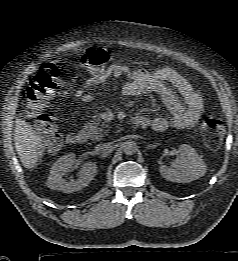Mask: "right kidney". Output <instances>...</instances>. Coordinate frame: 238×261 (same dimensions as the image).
Returning <instances> with one entry per match:
<instances>
[{
	"mask_svg": "<svg viewBox=\"0 0 238 261\" xmlns=\"http://www.w3.org/2000/svg\"><path fill=\"white\" fill-rule=\"evenodd\" d=\"M75 154L70 153L60 157L51 167L50 175L47 179V186L52 190H59L64 193H72L88 186L97 173V165L93 162L85 163L79 172L77 180L67 182L63 176L77 167Z\"/></svg>",
	"mask_w": 238,
	"mask_h": 261,
	"instance_id": "right-kidney-1",
	"label": "right kidney"
}]
</instances>
